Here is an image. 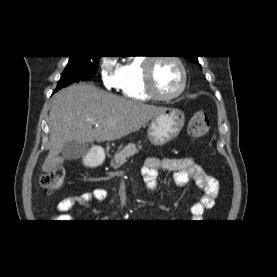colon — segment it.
I'll use <instances>...</instances> for the list:
<instances>
[{
    "label": "colon",
    "mask_w": 277,
    "mask_h": 277,
    "mask_svg": "<svg viewBox=\"0 0 277 277\" xmlns=\"http://www.w3.org/2000/svg\"><path fill=\"white\" fill-rule=\"evenodd\" d=\"M210 129V121L206 113L193 114L188 122V134L191 139L197 140L204 137ZM65 179V171L62 167H55L40 177V185L46 190L59 189Z\"/></svg>",
    "instance_id": "colon-1"
}]
</instances>
